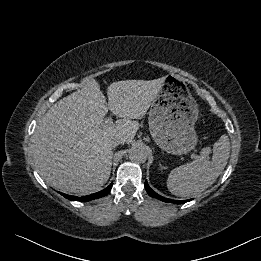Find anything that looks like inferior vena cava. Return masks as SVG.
<instances>
[{"label": "inferior vena cava", "mask_w": 261, "mask_h": 261, "mask_svg": "<svg viewBox=\"0 0 261 261\" xmlns=\"http://www.w3.org/2000/svg\"><path fill=\"white\" fill-rule=\"evenodd\" d=\"M123 143H124V139L122 137H115L111 141V146H112V148H115L117 145L123 144Z\"/></svg>", "instance_id": "obj_1"}]
</instances>
